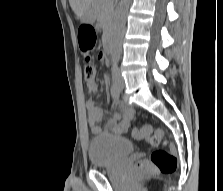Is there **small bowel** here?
Masks as SVG:
<instances>
[{"instance_id":"1","label":"small bowel","mask_w":223,"mask_h":191,"mask_svg":"<svg viewBox=\"0 0 223 191\" xmlns=\"http://www.w3.org/2000/svg\"><path fill=\"white\" fill-rule=\"evenodd\" d=\"M98 59L102 61L105 60L103 52L98 54ZM87 92L90 95H96L99 93V87L97 85L89 84L87 86ZM118 99H114V108L118 109V111L109 117H105L101 108L97 106L92 98L86 101L85 108L88 116V125L93 134L99 135L102 133V129L98 123L103 120L105 131L108 133L123 134L128 130L134 117V109L124 106Z\"/></svg>"}]
</instances>
